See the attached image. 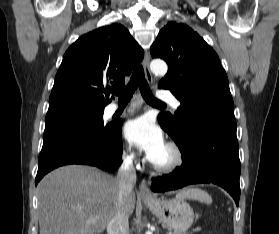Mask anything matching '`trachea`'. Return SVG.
Returning <instances> with one entry per match:
<instances>
[{"mask_svg": "<svg viewBox=\"0 0 279 234\" xmlns=\"http://www.w3.org/2000/svg\"><path fill=\"white\" fill-rule=\"evenodd\" d=\"M139 86L140 92L144 100L151 105H165L163 102L157 100L145 79L144 70L142 66H138L130 79V82L122 89H112V94L118 96L120 102H129L133 96L134 91Z\"/></svg>", "mask_w": 279, "mask_h": 234, "instance_id": "trachea-1", "label": "trachea"}]
</instances>
